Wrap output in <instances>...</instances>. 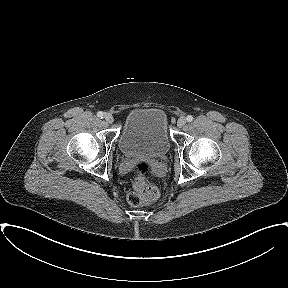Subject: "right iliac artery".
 Segmentation results:
<instances>
[{
    "mask_svg": "<svg viewBox=\"0 0 288 288\" xmlns=\"http://www.w3.org/2000/svg\"><path fill=\"white\" fill-rule=\"evenodd\" d=\"M97 116L102 119L104 117V113L102 111H99L97 113Z\"/></svg>",
    "mask_w": 288,
    "mask_h": 288,
    "instance_id": "1",
    "label": "right iliac artery"
}]
</instances>
